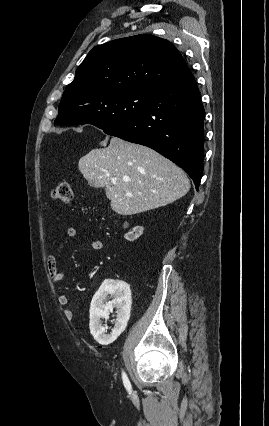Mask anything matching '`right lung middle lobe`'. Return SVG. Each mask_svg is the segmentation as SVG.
Listing matches in <instances>:
<instances>
[{"label":"right lung middle lobe","instance_id":"obj_1","mask_svg":"<svg viewBox=\"0 0 269 426\" xmlns=\"http://www.w3.org/2000/svg\"><path fill=\"white\" fill-rule=\"evenodd\" d=\"M153 92L127 90L82 98L78 94L62 97L55 124H92L104 131L125 124L148 106Z\"/></svg>","mask_w":269,"mask_h":426}]
</instances>
